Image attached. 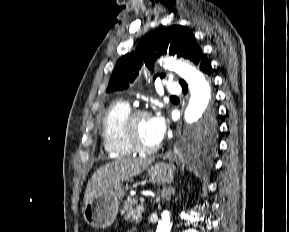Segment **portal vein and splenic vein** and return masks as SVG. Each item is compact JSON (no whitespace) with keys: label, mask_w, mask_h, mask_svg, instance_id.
<instances>
[{"label":"portal vein and splenic vein","mask_w":289,"mask_h":232,"mask_svg":"<svg viewBox=\"0 0 289 232\" xmlns=\"http://www.w3.org/2000/svg\"><path fill=\"white\" fill-rule=\"evenodd\" d=\"M145 199L143 197L140 198V202L143 203Z\"/></svg>","instance_id":"18ae733b"}]
</instances>
